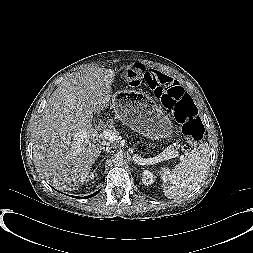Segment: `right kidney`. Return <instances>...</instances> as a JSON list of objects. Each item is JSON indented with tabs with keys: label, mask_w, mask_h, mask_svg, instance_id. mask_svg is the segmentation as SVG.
Masks as SVG:
<instances>
[{
	"label": "right kidney",
	"mask_w": 253,
	"mask_h": 253,
	"mask_svg": "<svg viewBox=\"0 0 253 253\" xmlns=\"http://www.w3.org/2000/svg\"><path fill=\"white\" fill-rule=\"evenodd\" d=\"M95 175H96V173H95V172H92V173H90L89 178L92 180V179H94ZM88 180H89V179H88Z\"/></svg>",
	"instance_id": "ca27d5eb"
}]
</instances>
